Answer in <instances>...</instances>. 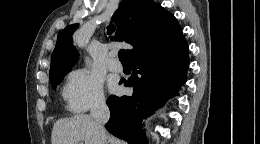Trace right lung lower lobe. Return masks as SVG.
Masks as SVG:
<instances>
[{"label":"right lung lower lobe","instance_id":"1","mask_svg":"<svg viewBox=\"0 0 260 144\" xmlns=\"http://www.w3.org/2000/svg\"><path fill=\"white\" fill-rule=\"evenodd\" d=\"M188 53L187 41L181 34L173 41L129 57L133 73L120 83L133 87V94L109 96L110 119L105 128L131 144H146L142 120L164 105L168 98L178 95L187 79Z\"/></svg>","mask_w":260,"mask_h":144}]
</instances>
